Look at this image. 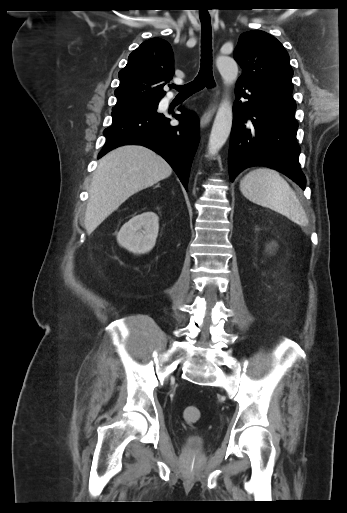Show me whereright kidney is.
Listing matches in <instances>:
<instances>
[{
    "mask_svg": "<svg viewBox=\"0 0 347 513\" xmlns=\"http://www.w3.org/2000/svg\"><path fill=\"white\" fill-rule=\"evenodd\" d=\"M159 230V217L154 212H144L132 217L117 234L120 246L135 254H145L155 246Z\"/></svg>",
    "mask_w": 347,
    "mask_h": 513,
    "instance_id": "1",
    "label": "right kidney"
}]
</instances>
